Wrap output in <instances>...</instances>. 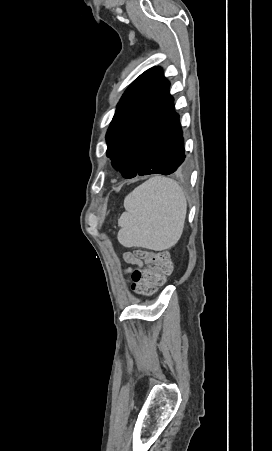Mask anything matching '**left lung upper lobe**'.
<instances>
[{
	"label": "left lung upper lobe",
	"mask_w": 272,
	"mask_h": 451,
	"mask_svg": "<svg viewBox=\"0 0 272 451\" xmlns=\"http://www.w3.org/2000/svg\"><path fill=\"white\" fill-rule=\"evenodd\" d=\"M161 67L141 74L121 97L106 135L107 157L124 178L136 176L151 137L173 102Z\"/></svg>",
	"instance_id": "5c2ea615"
}]
</instances>
